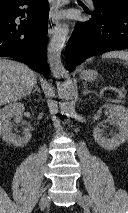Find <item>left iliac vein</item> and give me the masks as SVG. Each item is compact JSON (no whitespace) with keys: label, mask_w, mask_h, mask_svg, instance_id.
Instances as JSON below:
<instances>
[{"label":"left iliac vein","mask_w":128,"mask_h":213,"mask_svg":"<svg viewBox=\"0 0 128 213\" xmlns=\"http://www.w3.org/2000/svg\"><path fill=\"white\" fill-rule=\"evenodd\" d=\"M76 200H77L79 205H81L82 207L86 208L87 203L85 201L84 196L82 195V193L80 191H78L77 194H76Z\"/></svg>","instance_id":"left-iliac-vein-1"}]
</instances>
